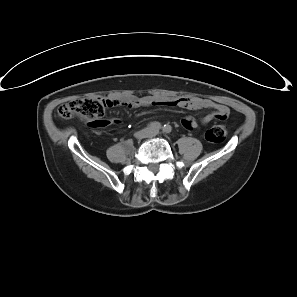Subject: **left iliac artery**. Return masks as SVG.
<instances>
[{
    "label": "left iliac artery",
    "mask_w": 297,
    "mask_h": 297,
    "mask_svg": "<svg viewBox=\"0 0 297 297\" xmlns=\"http://www.w3.org/2000/svg\"><path fill=\"white\" fill-rule=\"evenodd\" d=\"M163 132H165V133H170V132H171V126H169V125H164V127H163Z\"/></svg>",
    "instance_id": "left-iliac-artery-1"
}]
</instances>
